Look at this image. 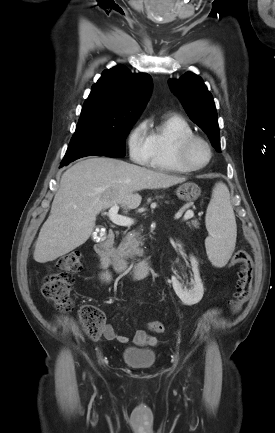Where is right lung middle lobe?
Instances as JSON below:
<instances>
[{
	"instance_id": "obj_1",
	"label": "right lung middle lobe",
	"mask_w": 275,
	"mask_h": 433,
	"mask_svg": "<svg viewBox=\"0 0 275 433\" xmlns=\"http://www.w3.org/2000/svg\"><path fill=\"white\" fill-rule=\"evenodd\" d=\"M136 120L119 123L78 122L62 166L86 156H125V138Z\"/></svg>"
}]
</instances>
